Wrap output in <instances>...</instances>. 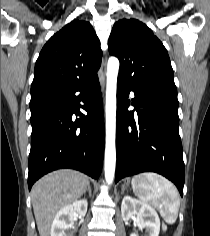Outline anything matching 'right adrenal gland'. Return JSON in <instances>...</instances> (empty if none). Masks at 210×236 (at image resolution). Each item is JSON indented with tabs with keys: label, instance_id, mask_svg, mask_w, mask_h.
I'll return each mask as SVG.
<instances>
[{
	"label": "right adrenal gland",
	"instance_id": "1",
	"mask_svg": "<svg viewBox=\"0 0 210 236\" xmlns=\"http://www.w3.org/2000/svg\"><path fill=\"white\" fill-rule=\"evenodd\" d=\"M86 191L89 192V195H90V197H91V195H92V190H91L90 182L88 183V187H87ZM86 191H85L84 193H86Z\"/></svg>",
	"mask_w": 210,
	"mask_h": 236
}]
</instances>
